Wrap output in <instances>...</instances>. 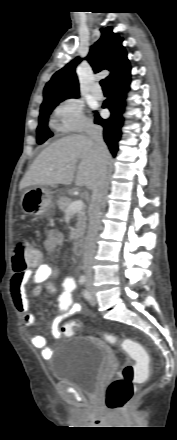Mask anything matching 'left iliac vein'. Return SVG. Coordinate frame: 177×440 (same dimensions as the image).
Here are the masks:
<instances>
[{
	"mask_svg": "<svg viewBox=\"0 0 177 440\" xmlns=\"http://www.w3.org/2000/svg\"><path fill=\"white\" fill-rule=\"evenodd\" d=\"M88 293H89V302L91 305H95L97 303V298L95 296V292L92 289L91 285L88 284Z\"/></svg>",
	"mask_w": 177,
	"mask_h": 440,
	"instance_id": "left-iliac-vein-1",
	"label": "left iliac vein"
}]
</instances>
